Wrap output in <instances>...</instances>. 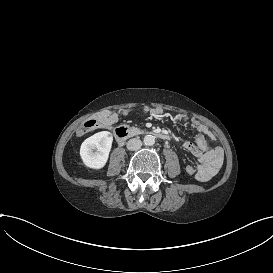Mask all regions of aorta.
<instances>
[{
    "label": "aorta",
    "mask_w": 273,
    "mask_h": 273,
    "mask_svg": "<svg viewBox=\"0 0 273 273\" xmlns=\"http://www.w3.org/2000/svg\"><path fill=\"white\" fill-rule=\"evenodd\" d=\"M155 143V137L153 135H146L144 137V144L147 146H152Z\"/></svg>",
    "instance_id": "obj_1"
}]
</instances>
